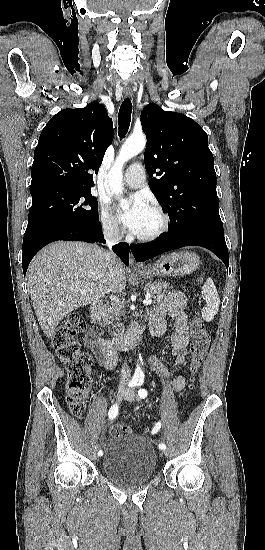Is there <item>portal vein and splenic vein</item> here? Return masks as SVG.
<instances>
[{"label":"portal vein and splenic vein","mask_w":265,"mask_h":550,"mask_svg":"<svg viewBox=\"0 0 265 550\" xmlns=\"http://www.w3.org/2000/svg\"><path fill=\"white\" fill-rule=\"evenodd\" d=\"M84 292H85V291H82V293H84ZM110 299H111L112 301H114L115 303H119V298L116 297V296H112V295H111V296H110ZM151 303H152L151 296H150V295H147V296H146V299L143 301V304H144V305H151Z\"/></svg>","instance_id":"18ae733b"}]
</instances>
